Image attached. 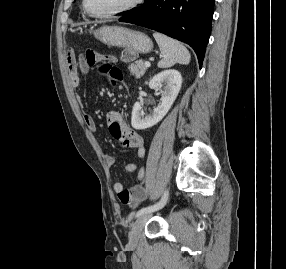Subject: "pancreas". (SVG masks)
<instances>
[{"mask_svg":"<svg viewBox=\"0 0 286 269\" xmlns=\"http://www.w3.org/2000/svg\"><path fill=\"white\" fill-rule=\"evenodd\" d=\"M128 68L131 75L135 76L137 79L141 78L147 69L142 60H138L135 63L130 64Z\"/></svg>","mask_w":286,"mask_h":269,"instance_id":"cf45deb5","label":"pancreas"}]
</instances>
